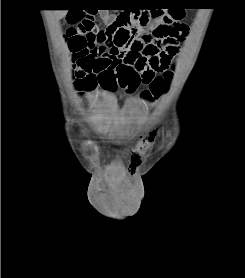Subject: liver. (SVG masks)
Returning a JSON list of instances; mask_svg holds the SVG:
<instances>
[{
  "mask_svg": "<svg viewBox=\"0 0 245 278\" xmlns=\"http://www.w3.org/2000/svg\"><path fill=\"white\" fill-rule=\"evenodd\" d=\"M55 12H56L55 15L57 16V18L61 19L67 14L68 10H56Z\"/></svg>",
  "mask_w": 245,
  "mask_h": 278,
  "instance_id": "1",
  "label": "liver"
}]
</instances>
